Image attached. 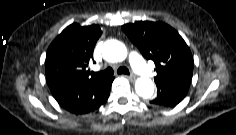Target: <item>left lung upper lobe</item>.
<instances>
[{
	"instance_id": "5c2ea615",
	"label": "left lung upper lobe",
	"mask_w": 236,
	"mask_h": 135,
	"mask_svg": "<svg viewBox=\"0 0 236 135\" xmlns=\"http://www.w3.org/2000/svg\"><path fill=\"white\" fill-rule=\"evenodd\" d=\"M122 30L147 60L156 64L155 82L186 79L193 74L191 51L179 33L163 22L138 21Z\"/></svg>"
}]
</instances>
